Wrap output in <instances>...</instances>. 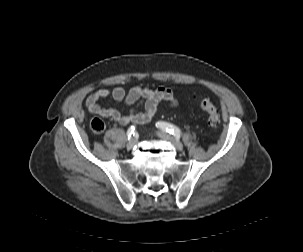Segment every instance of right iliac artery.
Wrapping results in <instances>:
<instances>
[{"label": "right iliac artery", "mask_w": 303, "mask_h": 252, "mask_svg": "<svg viewBox=\"0 0 303 252\" xmlns=\"http://www.w3.org/2000/svg\"><path fill=\"white\" fill-rule=\"evenodd\" d=\"M134 132H135V126L132 125L127 130V138H128V140L131 138L132 134L134 135Z\"/></svg>", "instance_id": "1"}]
</instances>
